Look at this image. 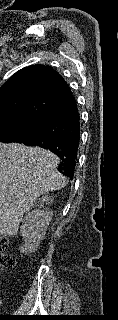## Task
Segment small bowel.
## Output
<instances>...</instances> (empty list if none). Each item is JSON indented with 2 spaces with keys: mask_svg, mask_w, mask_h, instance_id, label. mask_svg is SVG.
<instances>
[{
  "mask_svg": "<svg viewBox=\"0 0 118 320\" xmlns=\"http://www.w3.org/2000/svg\"><path fill=\"white\" fill-rule=\"evenodd\" d=\"M1 305H2V301L0 300V307H1Z\"/></svg>",
  "mask_w": 118,
  "mask_h": 320,
  "instance_id": "small-bowel-1",
  "label": "small bowel"
}]
</instances>
